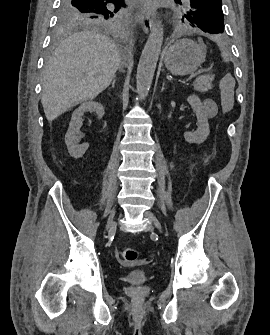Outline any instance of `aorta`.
Masks as SVG:
<instances>
[{"mask_svg":"<svg viewBox=\"0 0 270 335\" xmlns=\"http://www.w3.org/2000/svg\"><path fill=\"white\" fill-rule=\"evenodd\" d=\"M162 22L155 24L152 32L144 46L137 68L136 88L140 96H148L151 88L156 64L158 62L163 42Z\"/></svg>","mask_w":270,"mask_h":335,"instance_id":"obj_1","label":"aorta"}]
</instances>
